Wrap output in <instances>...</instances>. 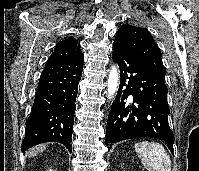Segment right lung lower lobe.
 <instances>
[{
	"label": "right lung lower lobe",
	"mask_w": 199,
	"mask_h": 171,
	"mask_svg": "<svg viewBox=\"0 0 199 171\" xmlns=\"http://www.w3.org/2000/svg\"><path fill=\"white\" fill-rule=\"evenodd\" d=\"M83 54L72 59H48L40 76L21 150L44 142H59L71 152L78 83Z\"/></svg>",
	"instance_id": "1"
}]
</instances>
